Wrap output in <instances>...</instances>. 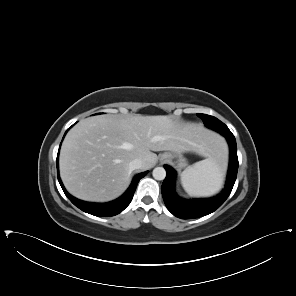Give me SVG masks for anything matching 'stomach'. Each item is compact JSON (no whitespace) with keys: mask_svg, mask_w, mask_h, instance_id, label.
I'll use <instances>...</instances> for the list:
<instances>
[{"mask_svg":"<svg viewBox=\"0 0 296 296\" xmlns=\"http://www.w3.org/2000/svg\"><path fill=\"white\" fill-rule=\"evenodd\" d=\"M167 154L171 159H173V158L177 159V166L179 168H185L187 166V161L181 153H176V154L175 153H167Z\"/></svg>","mask_w":296,"mask_h":296,"instance_id":"0dacf381","label":"stomach"}]
</instances>
